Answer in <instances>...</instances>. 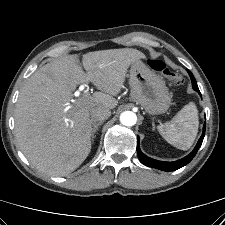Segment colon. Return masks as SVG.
<instances>
[{"mask_svg":"<svg viewBox=\"0 0 225 225\" xmlns=\"http://www.w3.org/2000/svg\"><path fill=\"white\" fill-rule=\"evenodd\" d=\"M151 68L162 73L172 84L181 85L184 83V78L174 71H171L162 60L152 59L149 61Z\"/></svg>","mask_w":225,"mask_h":225,"instance_id":"5ec220e1","label":"colon"}]
</instances>
